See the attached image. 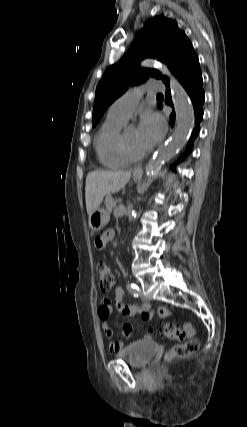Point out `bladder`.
Here are the masks:
<instances>
[{"mask_svg":"<svg viewBox=\"0 0 247 427\" xmlns=\"http://www.w3.org/2000/svg\"><path fill=\"white\" fill-rule=\"evenodd\" d=\"M157 345L147 341L134 342L124 349L116 352L118 359L125 360L133 367H143L154 357Z\"/></svg>","mask_w":247,"mask_h":427,"instance_id":"bladder-1","label":"bladder"}]
</instances>
